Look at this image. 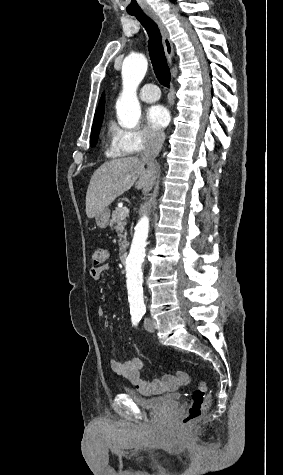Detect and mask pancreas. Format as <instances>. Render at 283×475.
<instances>
[{
  "mask_svg": "<svg viewBox=\"0 0 283 475\" xmlns=\"http://www.w3.org/2000/svg\"><path fill=\"white\" fill-rule=\"evenodd\" d=\"M126 216H128V214H125L124 208H115L114 212H112V220H110L111 226H113V224H116V226H114V230H116L120 238L119 251H125L128 245V241L126 239L127 232L126 230H124V226H126L127 224L125 220Z\"/></svg>",
  "mask_w": 283,
  "mask_h": 475,
  "instance_id": "pancreas-1",
  "label": "pancreas"
}]
</instances>
